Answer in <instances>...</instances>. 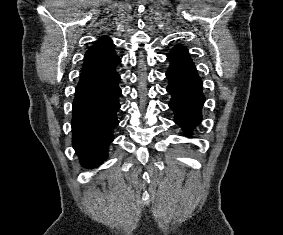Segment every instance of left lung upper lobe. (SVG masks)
<instances>
[{"instance_id": "1", "label": "left lung upper lobe", "mask_w": 283, "mask_h": 235, "mask_svg": "<svg viewBox=\"0 0 283 235\" xmlns=\"http://www.w3.org/2000/svg\"><path fill=\"white\" fill-rule=\"evenodd\" d=\"M167 56L171 61L193 63L186 48L181 45L175 46Z\"/></svg>"}]
</instances>
